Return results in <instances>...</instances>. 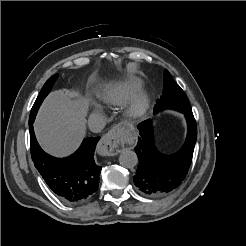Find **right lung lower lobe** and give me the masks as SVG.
I'll return each instance as SVG.
<instances>
[{"label": "right lung lower lobe", "mask_w": 246, "mask_h": 246, "mask_svg": "<svg viewBox=\"0 0 246 246\" xmlns=\"http://www.w3.org/2000/svg\"><path fill=\"white\" fill-rule=\"evenodd\" d=\"M32 160L50 189L68 204H79L93 196L98 189L101 166L94 161L100 137L84 139L80 148L67 158H55L39 146L33 123H29Z\"/></svg>", "instance_id": "right-lung-lower-lobe-1"}]
</instances>
